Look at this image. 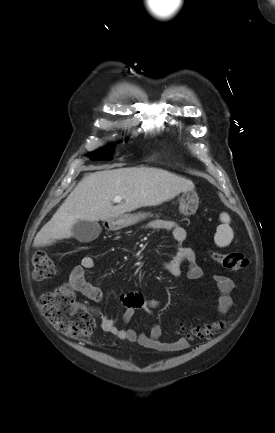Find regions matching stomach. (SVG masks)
<instances>
[{"label": "stomach", "mask_w": 275, "mask_h": 433, "mask_svg": "<svg viewBox=\"0 0 275 433\" xmlns=\"http://www.w3.org/2000/svg\"><path fill=\"white\" fill-rule=\"evenodd\" d=\"M199 205V198L195 191L183 192L179 202V212L184 216H191L196 213ZM146 214H123L116 218L107 220V227L110 230H118L138 223L145 218Z\"/></svg>", "instance_id": "1"}]
</instances>
